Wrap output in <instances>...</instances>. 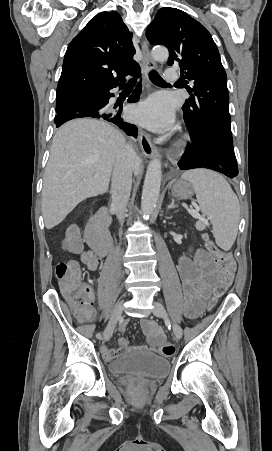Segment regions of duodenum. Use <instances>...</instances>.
I'll return each instance as SVG.
<instances>
[{"label":"duodenum","mask_w":272,"mask_h":451,"mask_svg":"<svg viewBox=\"0 0 272 451\" xmlns=\"http://www.w3.org/2000/svg\"><path fill=\"white\" fill-rule=\"evenodd\" d=\"M110 218L105 208L89 222L85 239L90 248L101 257L106 256L112 249L113 240L109 231Z\"/></svg>","instance_id":"obj_1"}]
</instances>
